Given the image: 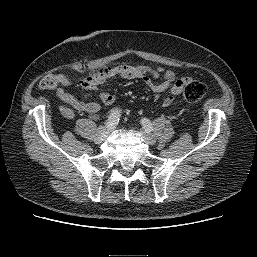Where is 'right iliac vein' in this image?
Listing matches in <instances>:
<instances>
[{"instance_id":"obj_1","label":"right iliac vein","mask_w":257,"mask_h":257,"mask_svg":"<svg viewBox=\"0 0 257 257\" xmlns=\"http://www.w3.org/2000/svg\"><path fill=\"white\" fill-rule=\"evenodd\" d=\"M108 129L104 126H101L98 128L97 133H96V137L94 139L95 143L99 144L102 141H104L107 136H108Z\"/></svg>"}]
</instances>
